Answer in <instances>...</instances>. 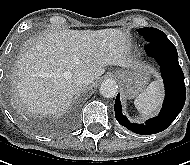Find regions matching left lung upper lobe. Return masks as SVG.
<instances>
[{
	"label": "left lung upper lobe",
	"mask_w": 190,
	"mask_h": 165,
	"mask_svg": "<svg viewBox=\"0 0 190 165\" xmlns=\"http://www.w3.org/2000/svg\"><path fill=\"white\" fill-rule=\"evenodd\" d=\"M137 32L145 38L148 44L166 37L162 31L156 28H140L137 29Z\"/></svg>",
	"instance_id": "5c2ea615"
}]
</instances>
